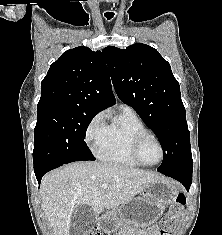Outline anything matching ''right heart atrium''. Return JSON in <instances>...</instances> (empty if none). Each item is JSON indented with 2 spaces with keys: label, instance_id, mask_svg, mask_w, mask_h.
Masks as SVG:
<instances>
[{
  "label": "right heart atrium",
  "instance_id": "obj_1",
  "mask_svg": "<svg viewBox=\"0 0 222 235\" xmlns=\"http://www.w3.org/2000/svg\"><path fill=\"white\" fill-rule=\"evenodd\" d=\"M106 126L105 113L99 112L91 119L86 128L85 141L94 153H97L104 141Z\"/></svg>",
  "mask_w": 222,
  "mask_h": 235
}]
</instances>
